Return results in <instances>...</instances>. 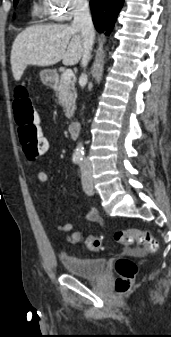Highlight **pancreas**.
Listing matches in <instances>:
<instances>
[{"instance_id": "cf45deb5", "label": "pancreas", "mask_w": 171, "mask_h": 337, "mask_svg": "<svg viewBox=\"0 0 171 337\" xmlns=\"http://www.w3.org/2000/svg\"><path fill=\"white\" fill-rule=\"evenodd\" d=\"M57 97L61 106L66 110V117L72 118L75 110V101L77 98V93L75 90V83L73 80H65L63 76L60 77V80L55 87Z\"/></svg>"}]
</instances>
